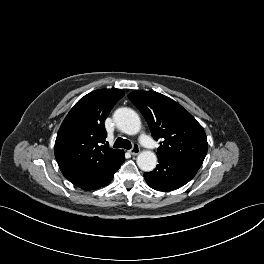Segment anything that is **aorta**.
Wrapping results in <instances>:
<instances>
[{
  "mask_svg": "<svg viewBox=\"0 0 264 264\" xmlns=\"http://www.w3.org/2000/svg\"><path fill=\"white\" fill-rule=\"evenodd\" d=\"M113 119L118 129L128 135L137 134L141 129L138 114L131 108L122 107L115 111ZM157 164V157L152 151H142L137 156L138 167L146 172L152 171Z\"/></svg>",
  "mask_w": 264,
  "mask_h": 264,
  "instance_id": "1",
  "label": "aorta"
}]
</instances>
